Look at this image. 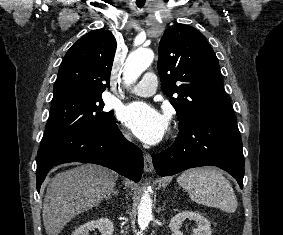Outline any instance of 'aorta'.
I'll return each instance as SVG.
<instances>
[{
	"label": "aorta",
	"mask_w": 283,
	"mask_h": 235,
	"mask_svg": "<svg viewBox=\"0 0 283 235\" xmlns=\"http://www.w3.org/2000/svg\"><path fill=\"white\" fill-rule=\"evenodd\" d=\"M154 53L151 49H138L131 52L126 59L123 79L128 86L136 82L138 77L151 65ZM150 187L142 195L138 205V224L145 230L152 218V199L149 194Z\"/></svg>",
	"instance_id": "aorta-1"
}]
</instances>
